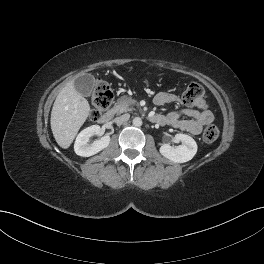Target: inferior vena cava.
Returning a JSON list of instances; mask_svg holds the SVG:
<instances>
[{"label": "inferior vena cava", "instance_id": "obj_1", "mask_svg": "<svg viewBox=\"0 0 264 264\" xmlns=\"http://www.w3.org/2000/svg\"><path fill=\"white\" fill-rule=\"evenodd\" d=\"M129 118H130V115L127 113V114H123L119 117H116L114 119V121L117 125H121V124L126 123L129 120Z\"/></svg>", "mask_w": 264, "mask_h": 264}]
</instances>
